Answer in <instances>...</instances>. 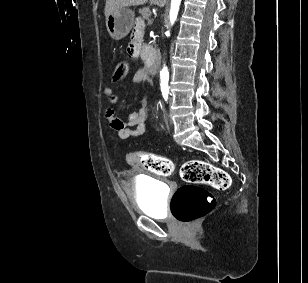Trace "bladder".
Returning <instances> with one entry per match:
<instances>
[{
  "instance_id": "31cf9c89",
  "label": "bladder",
  "mask_w": 308,
  "mask_h": 283,
  "mask_svg": "<svg viewBox=\"0 0 308 283\" xmlns=\"http://www.w3.org/2000/svg\"><path fill=\"white\" fill-rule=\"evenodd\" d=\"M135 203L138 209L148 216L164 218L166 216V194L161 182L147 175H141L132 181Z\"/></svg>"
}]
</instances>
